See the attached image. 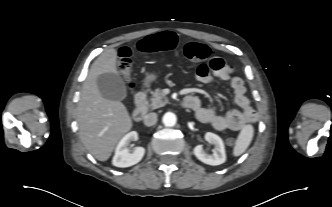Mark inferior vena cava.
Segmentation results:
<instances>
[{"mask_svg":"<svg viewBox=\"0 0 332 207\" xmlns=\"http://www.w3.org/2000/svg\"><path fill=\"white\" fill-rule=\"evenodd\" d=\"M157 120V114L156 113H149L144 118V124L146 126H152Z\"/></svg>","mask_w":332,"mask_h":207,"instance_id":"602c4592","label":"inferior vena cava"}]
</instances>
